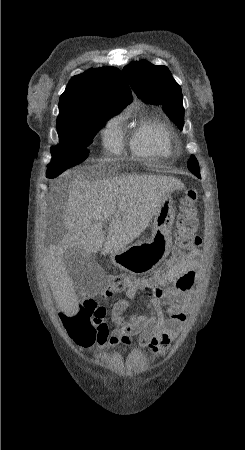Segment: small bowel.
Here are the masks:
<instances>
[{
	"label": "small bowel",
	"mask_w": 245,
	"mask_h": 450,
	"mask_svg": "<svg viewBox=\"0 0 245 450\" xmlns=\"http://www.w3.org/2000/svg\"><path fill=\"white\" fill-rule=\"evenodd\" d=\"M200 251L189 253L186 258L169 264L163 274L153 276V282L141 279L125 289L128 299L134 298L139 291L147 293L146 312L125 313L129 309L128 300H117L113 303L110 313L109 327L101 321L96 326V338L93 342L79 343L83 347L95 345L99 348L114 346L123 340L126 334H138L140 346L149 352L162 355L171 347L177 337L192 306L190 294L200 269ZM156 281L163 283L158 286ZM111 290H106L101 296L108 298ZM166 308V313L163 309ZM77 311L74 298H63L59 305L58 319L63 324L66 316Z\"/></svg>",
	"instance_id": "1"
}]
</instances>
